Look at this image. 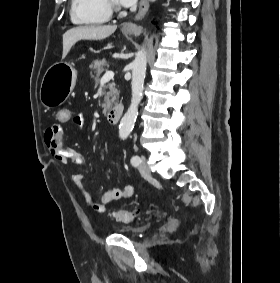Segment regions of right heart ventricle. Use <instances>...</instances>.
Returning a JSON list of instances; mask_svg holds the SVG:
<instances>
[{"instance_id": "e07e8e85", "label": "right heart ventricle", "mask_w": 280, "mask_h": 283, "mask_svg": "<svg viewBox=\"0 0 280 283\" xmlns=\"http://www.w3.org/2000/svg\"><path fill=\"white\" fill-rule=\"evenodd\" d=\"M70 16L78 25H96L109 20L110 12L104 0H71Z\"/></svg>"}]
</instances>
